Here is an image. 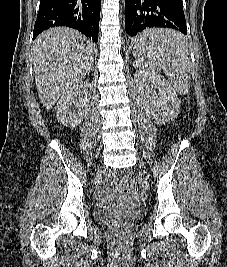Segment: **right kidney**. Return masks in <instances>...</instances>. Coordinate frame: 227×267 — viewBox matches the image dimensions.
<instances>
[{
	"label": "right kidney",
	"instance_id": "obj_1",
	"mask_svg": "<svg viewBox=\"0 0 227 267\" xmlns=\"http://www.w3.org/2000/svg\"><path fill=\"white\" fill-rule=\"evenodd\" d=\"M91 83L80 81L64 93L55 107L58 122L67 126L79 125L89 108Z\"/></svg>",
	"mask_w": 227,
	"mask_h": 267
}]
</instances>
